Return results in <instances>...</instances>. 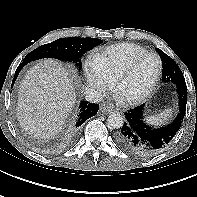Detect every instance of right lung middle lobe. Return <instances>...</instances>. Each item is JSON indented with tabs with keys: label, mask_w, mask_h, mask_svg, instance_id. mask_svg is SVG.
Segmentation results:
<instances>
[{
	"label": "right lung middle lobe",
	"mask_w": 197,
	"mask_h": 197,
	"mask_svg": "<svg viewBox=\"0 0 197 197\" xmlns=\"http://www.w3.org/2000/svg\"><path fill=\"white\" fill-rule=\"evenodd\" d=\"M101 43L102 40L98 38H60L31 51L24 61L55 58L75 62L80 68L82 55Z\"/></svg>",
	"instance_id": "dd1d6c3e"
}]
</instances>
